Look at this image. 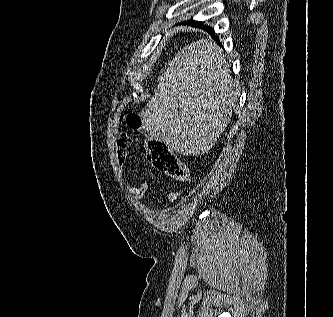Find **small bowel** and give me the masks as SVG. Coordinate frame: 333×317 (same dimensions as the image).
Instances as JSON below:
<instances>
[{
	"instance_id": "small-bowel-1",
	"label": "small bowel",
	"mask_w": 333,
	"mask_h": 317,
	"mask_svg": "<svg viewBox=\"0 0 333 317\" xmlns=\"http://www.w3.org/2000/svg\"><path fill=\"white\" fill-rule=\"evenodd\" d=\"M131 143V138L122 133L117 140V150H116V159L119 167H122L128 156V147ZM149 185L146 181H142L136 186H130L129 191L132 196L136 199L142 198L148 191ZM179 194L177 192H169L165 195V199L168 202H173L178 198Z\"/></svg>"
}]
</instances>
